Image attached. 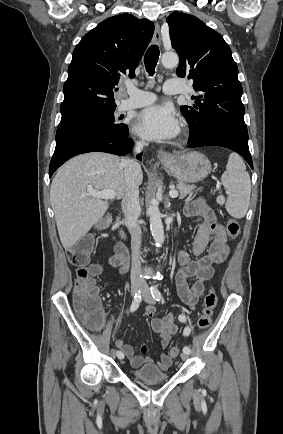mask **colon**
Masks as SVG:
<instances>
[{
  "instance_id": "5ec220e1",
  "label": "colon",
  "mask_w": 283,
  "mask_h": 434,
  "mask_svg": "<svg viewBox=\"0 0 283 434\" xmlns=\"http://www.w3.org/2000/svg\"><path fill=\"white\" fill-rule=\"evenodd\" d=\"M227 235L235 239L240 234V225L237 220L229 219L226 225ZM94 239L85 236L75 242L67 252L68 261L75 268L74 280V306L81 320L93 330L101 328L103 323V310L98 296V286L89 268ZM217 304V296L211 289L204 298L203 308L197 325L200 329H207L212 321L213 311ZM179 348L174 346L169 350L171 357L179 355Z\"/></svg>"
}]
</instances>
